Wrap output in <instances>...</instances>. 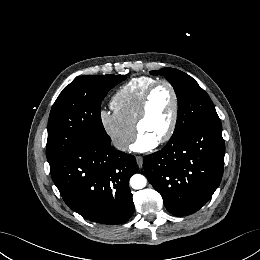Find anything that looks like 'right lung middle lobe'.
I'll list each match as a JSON object with an SVG mask.
<instances>
[{"instance_id":"1","label":"right lung middle lobe","mask_w":260,"mask_h":260,"mask_svg":"<svg viewBox=\"0 0 260 260\" xmlns=\"http://www.w3.org/2000/svg\"><path fill=\"white\" fill-rule=\"evenodd\" d=\"M124 75L76 78L56 99L48 121L47 159L53 163L67 150L83 144L110 146L101 121V102Z\"/></svg>"}]
</instances>
